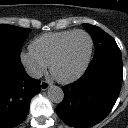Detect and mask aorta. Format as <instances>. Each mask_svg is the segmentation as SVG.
<instances>
[{"label":"aorta","mask_w":128,"mask_h":128,"mask_svg":"<svg viewBox=\"0 0 128 128\" xmlns=\"http://www.w3.org/2000/svg\"><path fill=\"white\" fill-rule=\"evenodd\" d=\"M47 97L51 102L59 104L63 101L64 93H63V90L60 87L51 86L48 89Z\"/></svg>","instance_id":"aorta-1"}]
</instances>
